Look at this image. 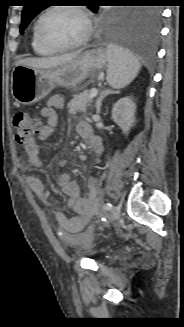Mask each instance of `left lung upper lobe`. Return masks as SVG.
<instances>
[{
  "label": "left lung upper lobe",
  "instance_id": "obj_1",
  "mask_svg": "<svg viewBox=\"0 0 184 327\" xmlns=\"http://www.w3.org/2000/svg\"><path fill=\"white\" fill-rule=\"evenodd\" d=\"M27 4L24 6L22 11V20L20 32L23 33L24 29L27 27L29 22L42 10L47 8L46 2L44 0H28ZM90 10L94 13L98 11V6L92 5L89 6ZM116 11L110 10L105 13L107 18L108 25L111 27H117L115 24Z\"/></svg>",
  "mask_w": 184,
  "mask_h": 327
}]
</instances>
